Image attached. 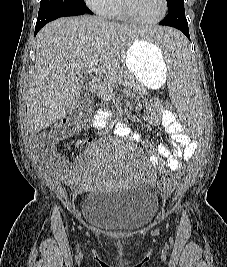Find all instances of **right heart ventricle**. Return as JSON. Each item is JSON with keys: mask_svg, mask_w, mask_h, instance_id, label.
Returning a JSON list of instances; mask_svg holds the SVG:
<instances>
[{"mask_svg": "<svg viewBox=\"0 0 227 267\" xmlns=\"http://www.w3.org/2000/svg\"><path fill=\"white\" fill-rule=\"evenodd\" d=\"M106 16L113 18V19H117V20H124L125 19L119 11L117 0H114L112 6L109 9V11L107 12Z\"/></svg>", "mask_w": 227, "mask_h": 267, "instance_id": "1", "label": "right heart ventricle"}]
</instances>
